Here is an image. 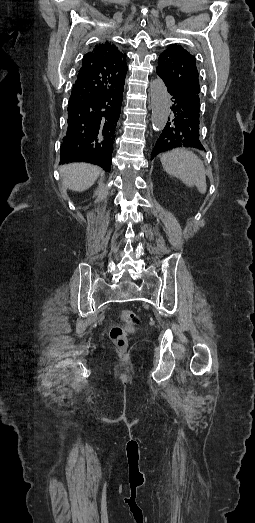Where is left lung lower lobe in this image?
Here are the masks:
<instances>
[{
  "instance_id": "obj_1",
  "label": "left lung lower lobe",
  "mask_w": 255,
  "mask_h": 523,
  "mask_svg": "<svg viewBox=\"0 0 255 523\" xmlns=\"http://www.w3.org/2000/svg\"><path fill=\"white\" fill-rule=\"evenodd\" d=\"M162 81V78H159ZM164 90L168 95H174L171 99L172 110L166 121V128L160 129L159 137L151 145L150 159L156 158V153L164 154L169 151L167 147H185L200 150L204 148L199 140L200 116L197 114V106L191 102L183 101L184 93L178 92L168 81H163ZM183 129V130H182Z\"/></svg>"
}]
</instances>
